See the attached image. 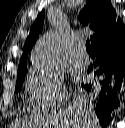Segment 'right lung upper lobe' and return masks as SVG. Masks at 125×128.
I'll return each mask as SVG.
<instances>
[{"label":"right lung upper lobe","instance_id":"cb5924a9","mask_svg":"<svg viewBox=\"0 0 125 128\" xmlns=\"http://www.w3.org/2000/svg\"><path fill=\"white\" fill-rule=\"evenodd\" d=\"M44 11H42L31 27L30 34L25 42L23 55L20 59L18 72L27 70V56L36 42L39 33L43 28ZM79 20L84 25L90 24V28L95 34L90 36L92 45L103 35L111 31L114 27L122 22L120 18H116V12L113 9L110 0H87L86 6L79 14ZM17 72V73H18Z\"/></svg>","mask_w":125,"mask_h":128}]
</instances>
